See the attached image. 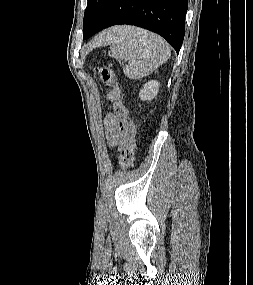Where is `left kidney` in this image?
<instances>
[{
    "label": "left kidney",
    "instance_id": "5707ae66",
    "mask_svg": "<svg viewBox=\"0 0 253 285\" xmlns=\"http://www.w3.org/2000/svg\"><path fill=\"white\" fill-rule=\"evenodd\" d=\"M159 82L152 80L145 83L144 87L140 90L139 97L141 100L151 101L154 99L159 91Z\"/></svg>",
    "mask_w": 253,
    "mask_h": 285
}]
</instances>
